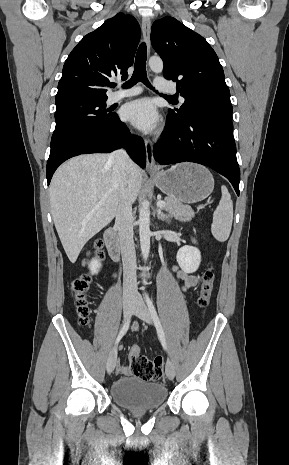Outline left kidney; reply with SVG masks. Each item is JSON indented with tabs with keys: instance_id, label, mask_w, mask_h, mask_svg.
I'll return each mask as SVG.
<instances>
[{
	"instance_id": "obj_1",
	"label": "left kidney",
	"mask_w": 289,
	"mask_h": 465,
	"mask_svg": "<svg viewBox=\"0 0 289 465\" xmlns=\"http://www.w3.org/2000/svg\"><path fill=\"white\" fill-rule=\"evenodd\" d=\"M195 243V240H192ZM177 262L180 268L186 273H194L199 268L201 253L194 246H183L177 252Z\"/></svg>"
}]
</instances>
